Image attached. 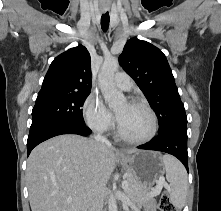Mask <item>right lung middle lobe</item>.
I'll return each mask as SVG.
<instances>
[{
	"label": "right lung middle lobe",
	"instance_id": "dd1d6c3e",
	"mask_svg": "<svg viewBox=\"0 0 221 211\" xmlns=\"http://www.w3.org/2000/svg\"><path fill=\"white\" fill-rule=\"evenodd\" d=\"M90 92H39L32 110L30 129L52 122H68L85 125L82 109Z\"/></svg>",
	"mask_w": 221,
	"mask_h": 211
}]
</instances>
